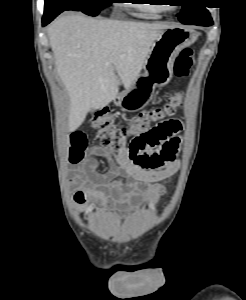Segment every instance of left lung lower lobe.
<instances>
[{
  "label": "left lung lower lobe",
  "instance_id": "obj_1",
  "mask_svg": "<svg viewBox=\"0 0 246 300\" xmlns=\"http://www.w3.org/2000/svg\"><path fill=\"white\" fill-rule=\"evenodd\" d=\"M213 23L212 18H208L207 20H202L199 22L194 23L195 25H199V26H211Z\"/></svg>",
  "mask_w": 246,
  "mask_h": 300
}]
</instances>
